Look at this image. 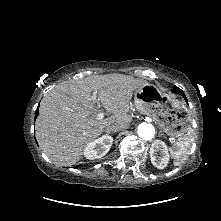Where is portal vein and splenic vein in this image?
Instances as JSON below:
<instances>
[{"instance_id":"obj_1","label":"portal vein and splenic vein","mask_w":221,"mask_h":221,"mask_svg":"<svg viewBox=\"0 0 221 221\" xmlns=\"http://www.w3.org/2000/svg\"><path fill=\"white\" fill-rule=\"evenodd\" d=\"M97 91H94L93 92V96H91V100L93 101V102H97ZM98 103V105L99 106H101L100 105V103L99 102H97ZM97 117H98V119H103L104 118V114L103 113H99L98 115H97Z\"/></svg>"}]
</instances>
